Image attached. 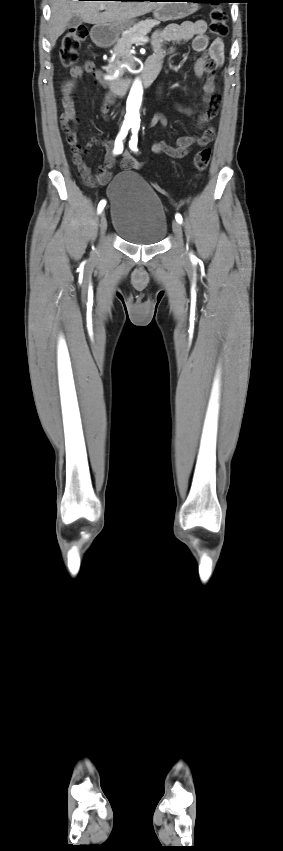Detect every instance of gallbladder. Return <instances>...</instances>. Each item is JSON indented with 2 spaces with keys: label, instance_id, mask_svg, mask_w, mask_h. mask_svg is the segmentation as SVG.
I'll list each match as a JSON object with an SVG mask.
<instances>
[{
  "label": "gallbladder",
  "instance_id": "bac80fb5",
  "mask_svg": "<svg viewBox=\"0 0 283 851\" xmlns=\"http://www.w3.org/2000/svg\"><path fill=\"white\" fill-rule=\"evenodd\" d=\"M82 22H83V21H82V19H81L80 17H78V16H73V17L69 20V22H68V24H67V28H68V29L76 28V27H78L79 25H81V24H82Z\"/></svg>",
  "mask_w": 283,
  "mask_h": 851
}]
</instances>
